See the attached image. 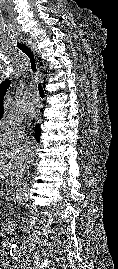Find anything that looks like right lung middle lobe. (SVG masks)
Instances as JSON below:
<instances>
[{"label": "right lung middle lobe", "instance_id": "right-lung-middle-lobe-1", "mask_svg": "<svg viewBox=\"0 0 118 269\" xmlns=\"http://www.w3.org/2000/svg\"><path fill=\"white\" fill-rule=\"evenodd\" d=\"M3 116V106L0 108V119L2 118Z\"/></svg>", "mask_w": 118, "mask_h": 269}]
</instances>
